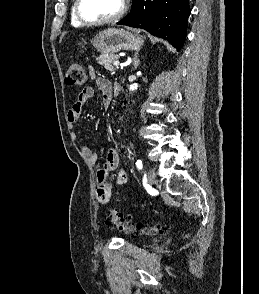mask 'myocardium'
<instances>
[{
  "label": "myocardium",
  "instance_id": "1",
  "mask_svg": "<svg viewBox=\"0 0 259 294\" xmlns=\"http://www.w3.org/2000/svg\"><path fill=\"white\" fill-rule=\"evenodd\" d=\"M82 1L83 0H76L74 5V14L78 22L83 26H101L105 24L114 23L124 16L128 8L127 0H121V7L115 15L101 20H88L81 13Z\"/></svg>",
  "mask_w": 259,
  "mask_h": 294
}]
</instances>
